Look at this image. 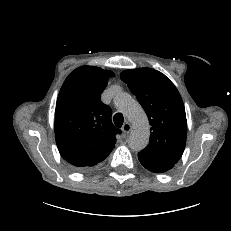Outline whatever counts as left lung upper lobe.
<instances>
[{
    "label": "left lung upper lobe",
    "mask_w": 231,
    "mask_h": 231,
    "mask_svg": "<svg viewBox=\"0 0 231 231\" xmlns=\"http://www.w3.org/2000/svg\"><path fill=\"white\" fill-rule=\"evenodd\" d=\"M120 77L137 97L151 125L149 144L139 154L176 164L187 137L185 108L177 88L164 74L151 68L125 70Z\"/></svg>",
    "instance_id": "5c2ea615"
}]
</instances>
